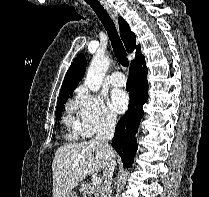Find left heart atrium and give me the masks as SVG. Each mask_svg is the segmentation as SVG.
Here are the masks:
<instances>
[{"instance_id": "1", "label": "left heart atrium", "mask_w": 209, "mask_h": 197, "mask_svg": "<svg viewBox=\"0 0 209 197\" xmlns=\"http://www.w3.org/2000/svg\"><path fill=\"white\" fill-rule=\"evenodd\" d=\"M129 105V97L126 92L115 90L111 94L110 106L117 113H123Z\"/></svg>"}]
</instances>
